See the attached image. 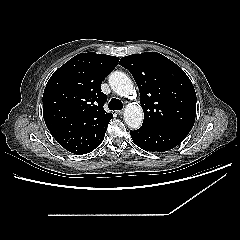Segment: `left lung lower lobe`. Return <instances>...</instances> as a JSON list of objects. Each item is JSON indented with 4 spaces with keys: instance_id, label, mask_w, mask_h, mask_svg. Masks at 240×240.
Returning <instances> with one entry per match:
<instances>
[{
    "instance_id": "1",
    "label": "left lung lower lobe",
    "mask_w": 240,
    "mask_h": 240,
    "mask_svg": "<svg viewBox=\"0 0 240 240\" xmlns=\"http://www.w3.org/2000/svg\"><path fill=\"white\" fill-rule=\"evenodd\" d=\"M192 128L167 127L152 128L142 126L130 131L134 143L140 148L151 152H165L180 144Z\"/></svg>"
}]
</instances>
